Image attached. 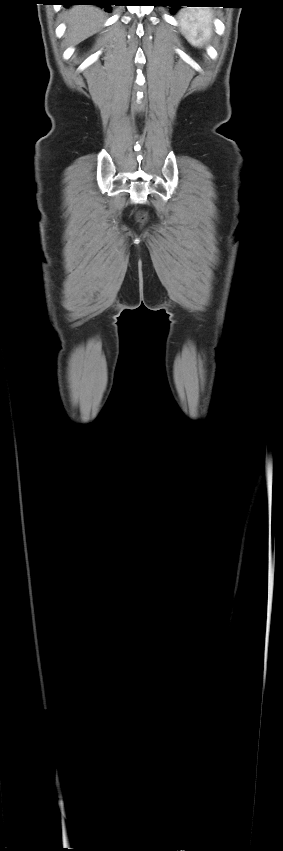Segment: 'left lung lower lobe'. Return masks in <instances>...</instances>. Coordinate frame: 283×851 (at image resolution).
<instances>
[{"mask_svg": "<svg viewBox=\"0 0 283 851\" xmlns=\"http://www.w3.org/2000/svg\"><path fill=\"white\" fill-rule=\"evenodd\" d=\"M218 2L219 1H217V0H180V2L174 3L170 6H172L174 8V10H176L177 8H179L181 6L190 7V6H195L196 4H216Z\"/></svg>", "mask_w": 283, "mask_h": 851, "instance_id": "0a47b994", "label": "left lung lower lobe"}]
</instances>
